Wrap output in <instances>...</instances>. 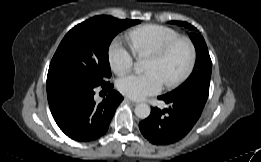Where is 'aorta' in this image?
Masks as SVG:
<instances>
[{
    "instance_id": "obj_1",
    "label": "aorta",
    "mask_w": 261,
    "mask_h": 162,
    "mask_svg": "<svg viewBox=\"0 0 261 162\" xmlns=\"http://www.w3.org/2000/svg\"><path fill=\"white\" fill-rule=\"evenodd\" d=\"M135 68H136L137 72H140L142 70V62L138 61L136 63V67ZM134 112H135V115L138 118L146 119L150 115L151 109H150V107L147 104L140 103V104L136 105Z\"/></svg>"
}]
</instances>
